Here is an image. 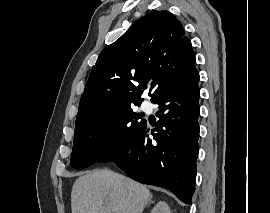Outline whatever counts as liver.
Masks as SVG:
<instances>
[{
    "instance_id": "obj_1",
    "label": "liver",
    "mask_w": 270,
    "mask_h": 213,
    "mask_svg": "<svg viewBox=\"0 0 270 213\" xmlns=\"http://www.w3.org/2000/svg\"><path fill=\"white\" fill-rule=\"evenodd\" d=\"M151 198L146 186L102 169L76 179L71 210L72 213H142Z\"/></svg>"
}]
</instances>
